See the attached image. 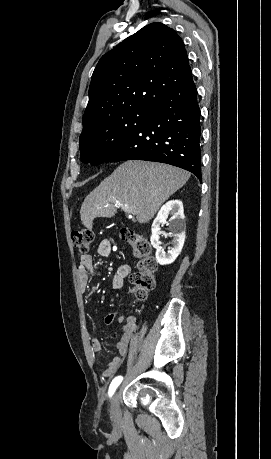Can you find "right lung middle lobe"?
Wrapping results in <instances>:
<instances>
[{"label":"right lung middle lobe","mask_w":271,"mask_h":459,"mask_svg":"<svg viewBox=\"0 0 271 459\" xmlns=\"http://www.w3.org/2000/svg\"><path fill=\"white\" fill-rule=\"evenodd\" d=\"M153 111V106L140 105L83 123L79 141L81 161L92 165L106 162Z\"/></svg>","instance_id":"obj_1"}]
</instances>
